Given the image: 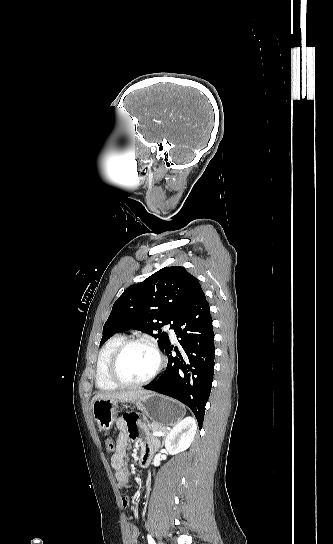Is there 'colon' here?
<instances>
[{
  "label": "colon",
  "mask_w": 333,
  "mask_h": 544,
  "mask_svg": "<svg viewBox=\"0 0 333 544\" xmlns=\"http://www.w3.org/2000/svg\"><path fill=\"white\" fill-rule=\"evenodd\" d=\"M104 444L107 449V451L112 452L115 448L114 441L111 436L105 435L104 437Z\"/></svg>",
  "instance_id": "1"
}]
</instances>
